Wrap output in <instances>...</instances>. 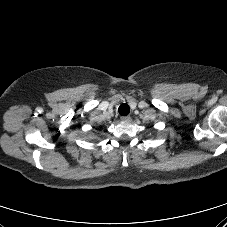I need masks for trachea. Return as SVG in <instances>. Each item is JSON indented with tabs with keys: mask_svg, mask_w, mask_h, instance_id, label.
<instances>
[{
	"mask_svg": "<svg viewBox=\"0 0 227 227\" xmlns=\"http://www.w3.org/2000/svg\"><path fill=\"white\" fill-rule=\"evenodd\" d=\"M118 111L121 116H126L130 112V107L128 104L123 103L119 106Z\"/></svg>",
	"mask_w": 227,
	"mask_h": 227,
	"instance_id": "obj_1",
	"label": "trachea"
}]
</instances>
